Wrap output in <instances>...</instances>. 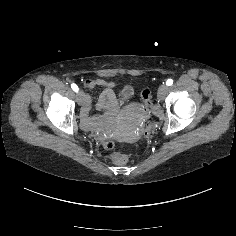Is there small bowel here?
Segmentation results:
<instances>
[{
  "label": "small bowel",
  "instance_id": "1",
  "mask_svg": "<svg viewBox=\"0 0 236 236\" xmlns=\"http://www.w3.org/2000/svg\"><path fill=\"white\" fill-rule=\"evenodd\" d=\"M85 84L89 88H94V87H97V86H102V87L105 88V91H111V92H112L111 88H113L114 85H115L113 82H109V81H105V80H88ZM86 97H88L90 99L89 96L84 95V98H83L84 102H85Z\"/></svg>",
  "mask_w": 236,
  "mask_h": 236
}]
</instances>
